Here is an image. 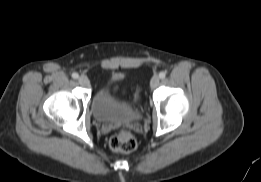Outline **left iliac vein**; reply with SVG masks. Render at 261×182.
I'll return each instance as SVG.
<instances>
[{"mask_svg":"<svg viewBox=\"0 0 261 182\" xmlns=\"http://www.w3.org/2000/svg\"><path fill=\"white\" fill-rule=\"evenodd\" d=\"M160 83V79L158 76H154L152 79H151V82H150V86L152 89H155Z\"/></svg>","mask_w":261,"mask_h":182,"instance_id":"obj_1","label":"left iliac vein"}]
</instances>
